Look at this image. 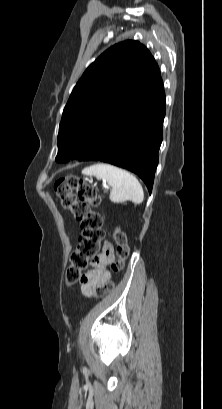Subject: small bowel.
<instances>
[{
    "label": "small bowel",
    "mask_w": 222,
    "mask_h": 409,
    "mask_svg": "<svg viewBox=\"0 0 222 409\" xmlns=\"http://www.w3.org/2000/svg\"><path fill=\"white\" fill-rule=\"evenodd\" d=\"M114 259V247L110 242L106 241L101 255L91 257L92 269L81 277V292L84 296L92 297L99 287L111 279V273L107 267L109 262Z\"/></svg>",
    "instance_id": "obj_1"
}]
</instances>
